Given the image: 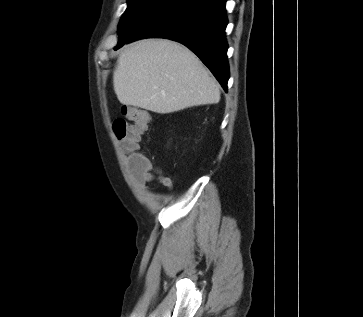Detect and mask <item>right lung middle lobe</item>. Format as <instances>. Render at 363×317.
<instances>
[{"label":"right lung middle lobe","instance_id":"dd1d6c3e","mask_svg":"<svg viewBox=\"0 0 363 317\" xmlns=\"http://www.w3.org/2000/svg\"><path fill=\"white\" fill-rule=\"evenodd\" d=\"M180 0H128L119 24V43L130 39L153 17Z\"/></svg>","mask_w":363,"mask_h":317}]
</instances>
